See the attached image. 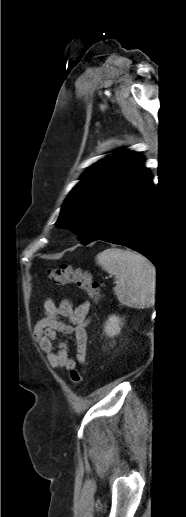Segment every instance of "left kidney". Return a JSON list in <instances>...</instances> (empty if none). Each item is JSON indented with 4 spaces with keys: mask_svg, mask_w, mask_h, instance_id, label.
Returning a JSON list of instances; mask_svg holds the SVG:
<instances>
[{
    "mask_svg": "<svg viewBox=\"0 0 186 517\" xmlns=\"http://www.w3.org/2000/svg\"><path fill=\"white\" fill-rule=\"evenodd\" d=\"M122 326V319L116 315H112L108 318L107 322L105 323V333L109 337H114L115 335H118L121 331Z\"/></svg>",
    "mask_w": 186,
    "mask_h": 517,
    "instance_id": "obj_1",
    "label": "left kidney"
}]
</instances>
